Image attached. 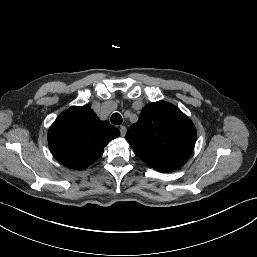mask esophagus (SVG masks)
I'll list each match as a JSON object with an SVG mask.
<instances>
[{
  "label": "esophagus",
  "mask_w": 257,
  "mask_h": 257,
  "mask_svg": "<svg viewBox=\"0 0 257 257\" xmlns=\"http://www.w3.org/2000/svg\"><path fill=\"white\" fill-rule=\"evenodd\" d=\"M126 132H127V128L125 126H120V134L122 137L125 136Z\"/></svg>",
  "instance_id": "34e87169"
}]
</instances>
